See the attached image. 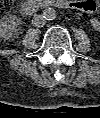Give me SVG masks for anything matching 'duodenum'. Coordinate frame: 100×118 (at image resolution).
Returning <instances> with one entry per match:
<instances>
[{
  "mask_svg": "<svg viewBox=\"0 0 100 118\" xmlns=\"http://www.w3.org/2000/svg\"><path fill=\"white\" fill-rule=\"evenodd\" d=\"M71 4L67 0H25L21 6V12L31 15L39 9L49 7L69 8Z\"/></svg>",
  "mask_w": 100,
  "mask_h": 118,
  "instance_id": "duodenum-1",
  "label": "duodenum"
}]
</instances>
